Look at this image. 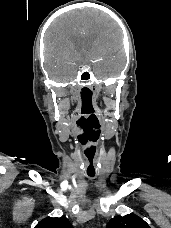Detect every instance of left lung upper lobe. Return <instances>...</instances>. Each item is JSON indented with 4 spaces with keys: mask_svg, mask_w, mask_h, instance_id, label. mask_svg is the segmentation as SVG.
I'll return each mask as SVG.
<instances>
[{
    "mask_svg": "<svg viewBox=\"0 0 171 228\" xmlns=\"http://www.w3.org/2000/svg\"><path fill=\"white\" fill-rule=\"evenodd\" d=\"M107 228H150V226L142 218L128 214L114 217L108 222Z\"/></svg>",
    "mask_w": 171,
    "mask_h": 228,
    "instance_id": "left-lung-upper-lobe-1",
    "label": "left lung upper lobe"
}]
</instances>
